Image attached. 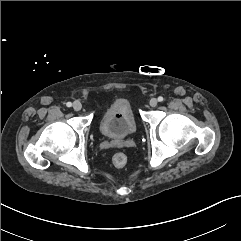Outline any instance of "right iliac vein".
Masks as SVG:
<instances>
[{
    "label": "right iliac vein",
    "instance_id": "obj_1",
    "mask_svg": "<svg viewBox=\"0 0 241 241\" xmlns=\"http://www.w3.org/2000/svg\"><path fill=\"white\" fill-rule=\"evenodd\" d=\"M73 109H74L75 111H80V110L82 109V104H81L79 101H75V102L73 103Z\"/></svg>",
    "mask_w": 241,
    "mask_h": 241
}]
</instances>
